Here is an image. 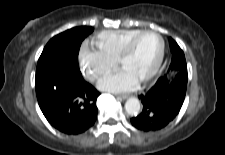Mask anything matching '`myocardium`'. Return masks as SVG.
Returning <instances> with one entry per match:
<instances>
[{"mask_svg":"<svg viewBox=\"0 0 225 155\" xmlns=\"http://www.w3.org/2000/svg\"><path fill=\"white\" fill-rule=\"evenodd\" d=\"M146 34H153L155 36L158 37L159 41H160V52H159V56L157 59V62L155 64V66L153 67V69L151 70V72L141 80L142 83H147L149 81H151L159 72L163 60H164V56H165V41L164 38L162 37V35L155 31V30H151V29H146V30H141L140 32H138L137 34H135L134 36H132L127 42L126 44L123 46L118 58H117V62L118 64H122L123 60L132 52L136 42L144 35Z\"/></svg>","mask_w":225,"mask_h":155,"instance_id":"obj_1","label":"myocardium"}]
</instances>
